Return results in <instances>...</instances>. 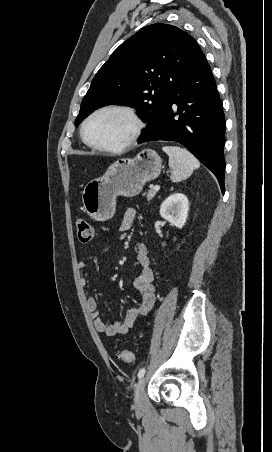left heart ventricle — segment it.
<instances>
[{"label": "left heart ventricle", "instance_id": "b2bd125f", "mask_svg": "<svg viewBox=\"0 0 272 452\" xmlns=\"http://www.w3.org/2000/svg\"><path fill=\"white\" fill-rule=\"evenodd\" d=\"M132 122L128 116L117 111L103 112L95 116L88 124L86 134L90 141L117 146L129 136Z\"/></svg>", "mask_w": 272, "mask_h": 452}]
</instances>
